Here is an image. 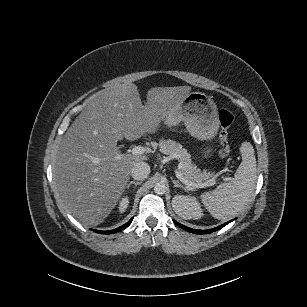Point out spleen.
I'll return each mask as SVG.
<instances>
[{"label": "spleen", "mask_w": 307, "mask_h": 307, "mask_svg": "<svg viewBox=\"0 0 307 307\" xmlns=\"http://www.w3.org/2000/svg\"><path fill=\"white\" fill-rule=\"evenodd\" d=\"M240 152L242 162L234 178L201 195L204 206L216 219L225 220L239 212L255 188L257 168L254 148L250 142H243Z\"/></svg>", "instance_id": "obj_1"}]
</instances>
